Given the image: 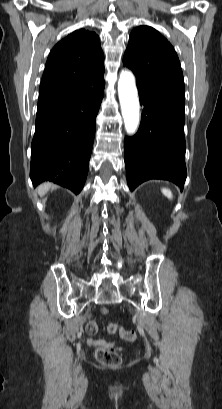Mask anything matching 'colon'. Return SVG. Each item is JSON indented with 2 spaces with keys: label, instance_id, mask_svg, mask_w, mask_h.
Listing matches in <instances>:
<instances>
[{
  "label": "colon",
  "instance_id": "colon-1",
  "mask_svg": "<svg viewBox=\"0 0 222 409\" xmlns=\"http://www.w3.org/2000/svg\"><path fill=\"white\" fill-rule=\"evenodd\" d=\"M108 312L109 311L106 308H103L101 311L103 315H107ZM107 330L109 333L119 332L122 339L129 342L135 341L137 338V334L135 331L126 330L117 323H110L107 326ZM96 357L101 364L110 367L118 366L121 364L122 361L121 355L119 353V348L113 346L99 347L96 351Z\"/></svg>",
  "mask_w": 222,
  "mask_h": 409
}]
</instances>
